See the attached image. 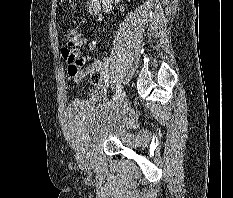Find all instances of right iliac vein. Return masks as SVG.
Returning a JSON list of instances; mask_svg holds the SVG:
<instances>
[{"instance_id":"1","label":"right iliac vein","mask_w":233,"mask_h":198,"mask_svg":"<svg viewBox=\"0 0 233 198\" xmlns=\"http://www.w3.org/2000/svg\"><path fill=\"white\" fill-rule=\"evenodd\" d=\"M124 99V93L120 94V96L118 97L117 100H115L114 103H112L111 107L116 109L120 106L121 102L123 101Z\"/></svg>"}]
</instances>
